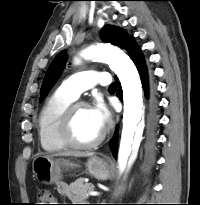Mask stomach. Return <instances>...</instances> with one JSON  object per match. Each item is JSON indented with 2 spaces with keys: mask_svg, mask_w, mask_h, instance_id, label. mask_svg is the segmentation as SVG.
Instances as JSON below:
<instances>
[{
  "mask_svg": "<svg viewBox=\"0 0 200 205\" xmlns=\"http://www.w3.org/2000/svg\"><path fill=\"white\" fill-rule=\"evenodd\" d=\"M73 162L64 159H54L50 156H37L32 163L33 172L44 184L58 183L61 179L63 168H73ZM89 173L99 180H106L110 177L112 165L98 156H92L86 163Z\"/></svg>",
  "mask_w": 200,
  "mask_h": 205,
  "instance_id": "1",
  "label": "stomach"
}]
</instances>
